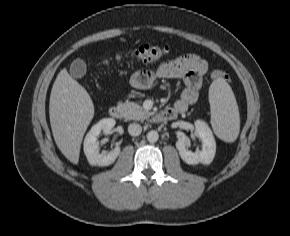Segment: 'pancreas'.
<instances>
[{
  "label": "pancreas",
  "mask_w": 290,
  "mask_h": 236,
  "mask_svg": "<svg viewBox=\"0 0 290 236\" xmlns=\"http://www.w3.org/2000/svg\"><path fill=\"white\" fill-rule=\"evenodd\" d=\"M122 115L128 120H144L151 116V112L134 102H119L117 105Z\"/></svg>",
  "instance_id": "pancreas-1"
}]
</instances>
